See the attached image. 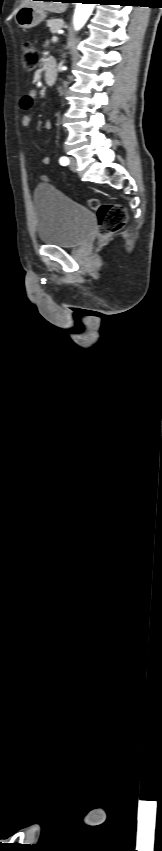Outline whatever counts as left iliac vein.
Returning a JSON list of instances; mask_svg holds the SVG:
<instances>
[{
	"mask_svg": "<svg viewBox=\"0 0 162 851\" xmlns=\"http://www.w3.org/2000/svg\"><path fill=\"white\" fill-rule=\"evenodd\" d=\"M69 168H70V170H72L73 172H76V171H77V161H76V159H75V158H73V157H71V158H70V161H69Z\"/></svg>",
	"mask_w": 162,
	"mask_h": 851,
	"instance_id": "4c4485c4",
	"label": "left iliac vein"
}]
</instances>
